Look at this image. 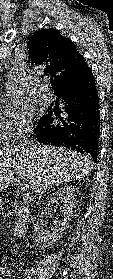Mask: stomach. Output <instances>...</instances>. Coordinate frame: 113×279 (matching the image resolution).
Returning a JSON list of instances; mask_svg holds the SVG:
<instances>
[{
    "label": "stomach",
    "mask_w": 113,
    "mask_h": 279,
    "mask_svg": "<svg viewBox=\"0 0 113 279\" xmlns=\"http://www.w3.org/2000/svg\"><path fill=\"white\" fill-rule=\"evenodd\" d=\"M2 207V200H1V198H0V208Z\"/></svg>",
    "instance_id": "1"
}]
</instances>
